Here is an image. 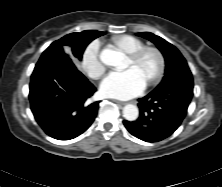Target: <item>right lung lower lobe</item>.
I'll list each match as a JSON object with an SVG mask.
<instances>
[{
  "label": "right lung lower lobe",
  "instance_id": "98d812e1",
  "mask_svg": "<svg viewBox=\"0 0 222 187\" xmlns=\"http://www.w3.org/2000/svg\"><path fill=\"white\" fill-rule=\"evenodd\" d=\"M95 91L66 54L44 51L31 76V110L46 134L70 140L93 123L99 101L88 99Z\"/></svg>",
  "mask_w": 222,
  "mask_h": 187
}]
</instances>
